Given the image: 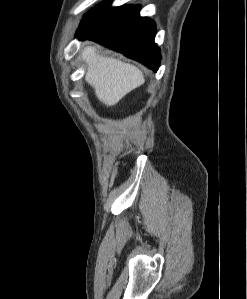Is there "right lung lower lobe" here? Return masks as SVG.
I'll return each mask as SVG.
<instances>
[{
    "instance_id": "1",
    "label": "right lung lower lobe",
    "mask_w": 247,
    "mask_h": 299,
    "mask_svg": "<svg viewBox=\"0 0 247 299\" xmlns=\"http://www.w3.org/2000/svg\"><path fill=\"white\" fill-rule=\"evenodd\" d=\"M155 34V22L147 17H140L139 5H136L112 25L92 35L77 37L81 40L98 42L141 62L156 72L161 62V55L159 47L154 42Z\"/></svg>"
}]
</instances>
